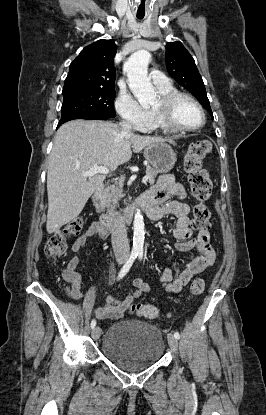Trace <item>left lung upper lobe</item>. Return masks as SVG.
Wrapping results in <instances>:
<instances>
[{
	"instance_id": "left-lung-upper-lobe-1",
	"label": "left lung upper lobe",
	"mask_w": 266,
	"mask_h": 415,
	"mask_svg": "<svg viewBox=\"0 0 266 415\" xmlns=\"http://www.w3.org/2000/svg\"><path fill=\"white\" fill-rule=\"evenodd\" d=\"M165 60L168 73L208 109L213 118L201 75L193 57L180 41L167 43Z\"/></svg>"
}]
</instances>
